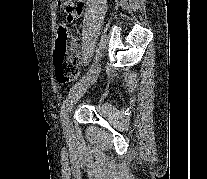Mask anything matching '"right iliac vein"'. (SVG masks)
<instances>
[{
  "instance_id": "right-iliac-vein-1",
  "label": "right iliac vein",
  "mask_w": 207,
  "mask_h": 179,
  "mask_svg": "<svg viewBox=\"0 0 207 179\" xmlns=\"http://www.w3.org/2000/svg\"><path fill=\"white\" fill-rule=\"evenodd\" d=\"M98 74H99V69L94 72L93 76L90 77L88 84L79 87V89L72 95L71 100L69 101V104L65 109V114L63 117V126L66 130H69L70 128V113L74 105L83 96L86 90L96 81Z\"/></svg>"
}]
</instances>
